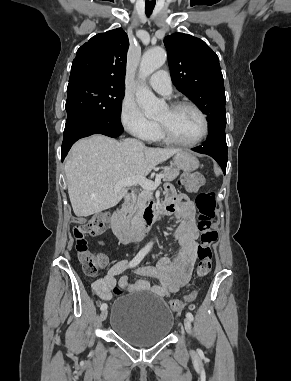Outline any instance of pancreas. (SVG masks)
Listing matches in <instances>:
<instances>
[{
	"mask_svg": "<svg viewBox=\"0 0 291 381\" xmlns=\"http://www.w3.org/2000/svg\"><path fill=\"white\" fill-rule=\"evenodd\" d=\"M162 173L164 174V181H173L178 175L179 170L171 167L163 168ZM152 190L143 189L138 196L134 197L132 202L128 207V221L135 225L137 224L142 216V212L147 202L152 199Z\"/></svg>",
	"mask_w": 291,
	"mask_h": 381,
	"instance_id": "cf45deb5",
	"label": "pancreas"
}]
</instances>
